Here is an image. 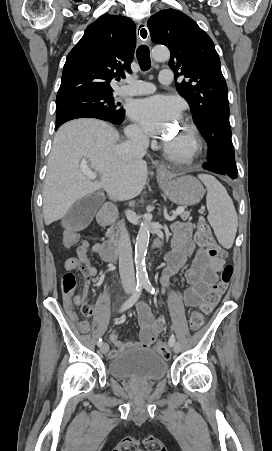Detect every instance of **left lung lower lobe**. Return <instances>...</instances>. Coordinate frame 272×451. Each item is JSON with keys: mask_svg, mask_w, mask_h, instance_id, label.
I'll list each match as a JSON object with an SVG mask.
<instances>
[{"mask_svg": "<svg viewBox=\"0 0 272 451\" xmlns=\"http://www.w3.org/2000/svg\"><path fill=\"white\" fill-rule=\"evenodd\" d=\"M204 168L207 169V170H210L212 172H215V173H218V174H221V175H224V176H228V177H230L232 179L237 178L236 175H232V174L226 172L225 170H223L222 168H220L219 166H217L215 164H212V163L206 164Z\"/></svg>", "mask_w": 272, "mask_h": 451, "instance_id": "left-lung-lower-lobe-1", "label": "left lung lower lobe"}]
</instances>
